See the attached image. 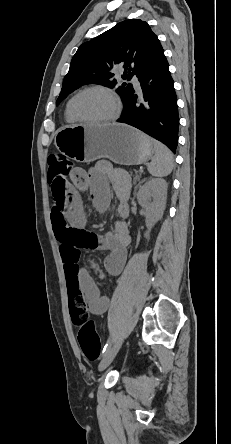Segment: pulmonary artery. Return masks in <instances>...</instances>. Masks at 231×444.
<instances>
[{"mask_svg":"<svg viewBox=\"0 0 231 444\" xmlns=\"http://www.w3.org/2000/svg\"><path fill=\"white\" fill-rule=\"evenodd\" d=\"M132 81H133V83H134L135 88H136L138 91H140V85H139L137 79H136V78H133Z\"/></svg>","mask_w":231,"mask_h":444,"instance_id":"1","label":"pulmonary artery"}]
</instances>
